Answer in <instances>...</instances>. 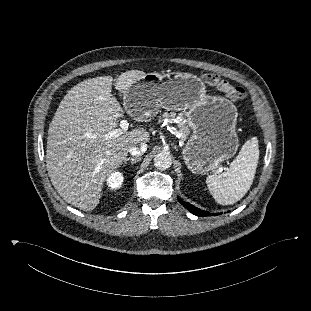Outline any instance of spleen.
I'll return each mask as SVG.
<instances>
[{
	"instance_id": "1",
	"label": "spleen",
	"mask_w": 311,
	"mask_h": 311,
	"mask_svg": "<svg viewBox=\"0 0 311 311\" xmlns=\"http://www.w3.org/2000/svg\"><path fill=\"white\" fill-rule=\"evenodd\" d=\"M258 160V140L252 137L242 146L228 170L209 175L206 184L216 202L230 205L242 199L253 183Z\"/></svg>"
}]
</instances>
